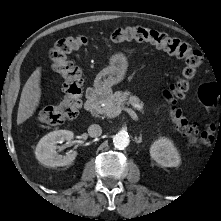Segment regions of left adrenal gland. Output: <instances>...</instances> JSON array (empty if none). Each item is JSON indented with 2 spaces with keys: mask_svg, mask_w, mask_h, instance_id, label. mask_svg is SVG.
Listing matches in <instances>:
<instances>
[{
  "mask_svg": "<svg viewBox=\"0 0 221 221\" xmlns=\"http://www.w3.org/2000/svg\"><path fill=\"white\" fill-rule=\"evenodd\" d=\"M135 142L138 144L142 142V135L141 134L138 138H135Z\"/></svg>",
  "mask_w": 221,
  "mask_h": 221,
  "instance_id": "a2214340",
  "label": "left adrenal gland"
}]
</instances>
